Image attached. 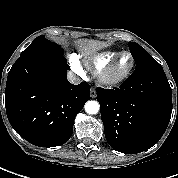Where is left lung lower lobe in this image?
Masks as SVG:
<instances>
[{
  "mask_svg": "<svg viewBox=\"0 0 178 178\" xmlns=\"http://www.w3.org/2000/svg\"><path fill=\"white\" fill-rule=\"evenodd\" d=\"M105 137L121 153L136 154L155 145L172 112V92L162 66L133 73L119 88H97Z\"/></svg>",
  "mask_w": 178,
  "mask_h": 178,
  "instance_id": "left-lung-lower-lobe-1",
  "label": "left lung lower lobe"
}]
</instances>
